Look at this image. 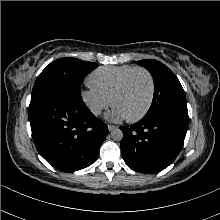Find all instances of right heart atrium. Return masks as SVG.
<instances>
[{
    "label": "right heart atrium",
    "instance_id": "obj_1",
    "mask_svg": "<svg viewBox=\"0 0 220 220\" xmlns=\"http://www.w3.org/2000/svg\"><path fill=\"white\" fill-rule=\"evenodd\" d=\"M81 99L87 109L96 116L107 109L111 103L109 97L91 86L81 92Z\"/></svg>",
    "mask_w": 220,
    "mask_h": 220
}]
</instances>
